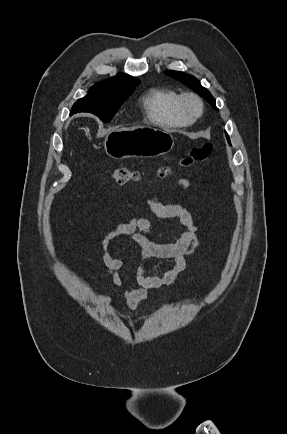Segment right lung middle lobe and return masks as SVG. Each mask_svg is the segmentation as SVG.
<instances>
[{"instance_id": "right-lung-middle-lobe-1", "label": "right lung middle lobe", "mask_w": 287, "mask_h": 434, "mask_svg": "<svg viewBox=\"0 0 287 434\" xmlns=\"http://www.w3.org/2000/svg\"><path fill=\"white\" fill-rule=\"evenodd\" d=\"M139 83L140 81L127 84L97 83L84 98L75 102L71 114L90 112L103 122H108Z\"/></svg>"}]
</instances>
